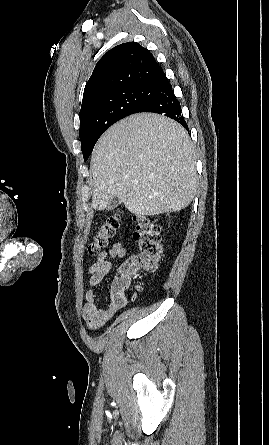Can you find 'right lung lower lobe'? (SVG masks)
I'll return each mask as SVG.
<instances>
[{"label": "right lung lower lobe", "mask_w": 269, "mask_h": 445, "mask_svg": "<svg viewBox=\"0 0 269 445\" xmlns=\"http://www.w3.org/2000/svg\"><path fill=\"white\" fill-rule=\"evenodd\" d=\"M154 88V96L138 107L135 113L154 112L163 114L188 128L181 115L180 102L175 97L172 85L166 78V75H164Z\"/></svg>", "instance_id": "98d812e1"}]
</instances>
